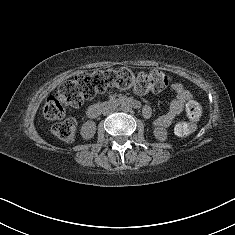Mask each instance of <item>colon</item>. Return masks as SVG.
I'll return each mask as SVG.
<instances>
[{"mask_svg": "<svg viewBox=\"0 0 235 235\" xmlns=\"http://www.w3.org/2000/svg\"><path fill=\"white\" fill-rule=\"evenodd\" d=\"M170 76L162 71L152 70L149 73L134 75L129 69L96 70L83 72L73 79L64 82L58 91L49 96L43 107V115L48 120H61L66 108L80 107L85 100L93 98L110 88L128 89L133 87L138 93L161 92L170 83ZM186 114L191 123H179L175 127L176 134L184 136L194 128L201 115V108L196 101L186 104ZM53 134L64 142H72L77 134V123L67 118L56 123L52 128Z\"/></svg>", "mask_w": 235, "mask_h": 235, "instance_id": "colon-1", "label": "colon"}]
</instances>
